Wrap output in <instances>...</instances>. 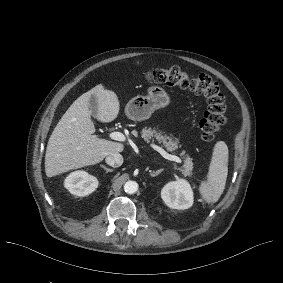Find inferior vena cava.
I'll use <instances>...</instances> for the list:
<instances>
[{
  "instance_id": "obj_1",
  "label": "inferior vena cava",
  "mask_w": 283,
  "mask_h": 283,
  "mask_svg": "<svg viewBox=\"0 0 283 283\" xmlns=\"http://www.w3.org/2000/svg\"><path fill=\"white\" fill-rule=\"evenodd\" d=\"M106 163L112 167H119L123 163V157L119 153H112L106 157Z\"/></svg>"
}]
</instances>
